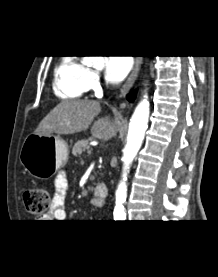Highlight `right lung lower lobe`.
<instances>
[{
	"label": "right lung lower lobe",
	"mask_w": 218,
	"mask_h": 277,
	"mask_svg": "<svg viewBox=\"0 0 218 277\" xmlns=\"http://www.w3.org/2000/svg\"><path fill=\"white\" fill-rule=\"evenodd\" d=\"M135 95H136V90L133 91V94H132V95H129V96H128V100L132 102V101L134 100V98H135Z\"/></svg>",
	"instance_id": "98d812e1"
}]
</instances>
